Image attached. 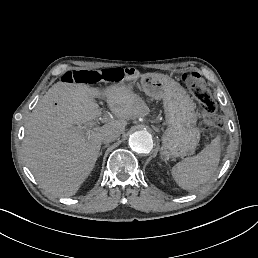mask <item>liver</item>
Instances as JSON below:
<instances>
[{"label": "liver", "instance_id": "6515ba94", "mask_svg": "<svg viewBox=\"0 0 258 258\" xmlns=\"http://www.w3.org/2000/svg\"><path fill=\"white\" fill-rule=\"evenodd\" d=\"M145 75H150L146 73ZM96 91L85 84L58 82L38 102L25 124L23 157L39 185L50 194L69 197L92 169L106 129L123 132L126 121L149 113L146 104L124 87H110L105 96L111 113L120 118L97 131L74 124L102 115Z\"/></svg>", "mask_w": 258, "mask_h": 258}]
</instances>
